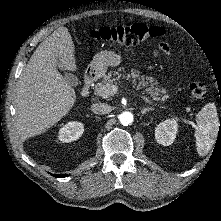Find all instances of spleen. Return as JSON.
<instances>
[{
    "instance_id": "spleen-1",
    "label": "spleen",
    "mask_w": 221,
    "mask_h": 221,
    "mask_svg": "<svg viewBox=\"0 0 221 221\" xmlns=\"http://www.w3.org/2000/svg\"><path fill=\"white\" fill-rule=\"evenodd\" d=\"M196 122L194 138L197 152L200 156H205L215 144L219 130V118L214 103L206 104L199 111Z\"/></svg>"
}]
</instances>
